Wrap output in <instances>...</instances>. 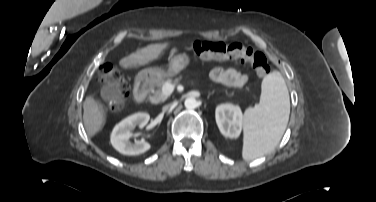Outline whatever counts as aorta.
Wrapping results in <instances>:
<instances>
[{
	"label": "aorta",
	"instance_id": "1",
	"mask_svg": "<svg viewBox=\"0 0 376 202\" xmlns=\"http://www.w3.org/2000/svg\"><path fill=\"white\" fill-rule=\"evenodd\" d=\"M184 105L187 109H195L198 106V102L195 98L189 97L185 100Z\"/></svg>",
	"mask_w": 376,
	"mask_h": 202
}]
</instances>
